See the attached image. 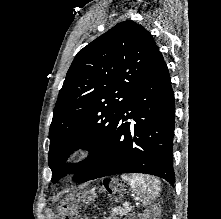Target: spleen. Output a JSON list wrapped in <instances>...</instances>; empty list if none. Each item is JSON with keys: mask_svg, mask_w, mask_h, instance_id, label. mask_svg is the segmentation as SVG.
I'll return each mask as SVG.
<instances>
[{"mask_svg": "<svg viewBox=\"0 0 221 219\" xmlns=\"http://www.w3.org/2000/svg\"><path fill=\"white\" fill-rule=\"evenodd\" d=\"M121 178L129 182L135 194L141 198L143 205L149 204L158 195L159 181L156 178L138 174L122 175Z\"/></svg>", "mask_w": 221, "mask_h": 219, "instance_id": "1", "label": "spleen"}]
</instances>
